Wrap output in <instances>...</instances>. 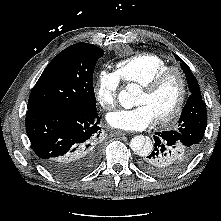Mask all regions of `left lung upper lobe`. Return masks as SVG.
<instances>
[{
	"mask_svg": "<svg viewBox=\"0 0 221 221\" xmlns=\"http://www.w3.org/2000/svg\"><path fill=\"white\" fill-rule=\"evenodd\" d=\"M175 58L181 62L180 65L186 75L191 92L178 120L176 131L181 133L185 140L198 150L207 125L206 105L202 100L198 82L190 68L181 58L178 56Z\"/></svg>",
	"mask_w": 221,
	"mask_h": 221,
	"instance_id": "1",
	"label": "left lung upper lobe"
}]
</instances>
